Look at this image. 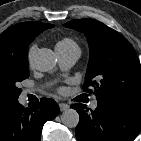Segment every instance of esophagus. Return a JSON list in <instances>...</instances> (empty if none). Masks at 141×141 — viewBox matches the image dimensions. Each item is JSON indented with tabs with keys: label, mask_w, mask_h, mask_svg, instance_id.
Instances as JSON below:
<instances>
[{
	"label": "esophagus",
	"mask_w": 141,
	"mask_h": 141,
	"mask_svg": "<svg viewBox=\"0 0 141 141\" xmlns=\"http://www.w3.org/2000/svg\"><path fill=\"white\" fill-rule=\"evenodd\" d=\"M59 108L61 111H66L69 108V105L66 103H60Z\"/></svg>",
	"instance_id": "1"
}]
</instances>
